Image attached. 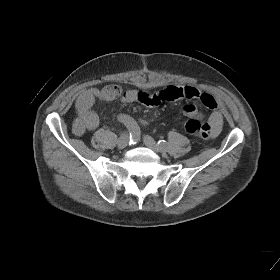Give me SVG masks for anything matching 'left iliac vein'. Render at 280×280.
I'll use <instances>...</instances> for the list:
<instances>
[{"label":"left iliac vein","mask_w":280,"mask_h":280,"mask_svg":"<svg viewBox=\"0 0 280 280\" xmlns=\"http://www.w3.org/2000/svg\"><path fill=\"white\" fill-rule=\"evenodd\" d=\"M143 142L144 144L150 148L151 150H153L154 152H163L164 149H161L157 143L155 142V140L151 137V136H148V135H145L143 137Z\"/></svg>","instance_id":"obj_1"}]
</instances>
